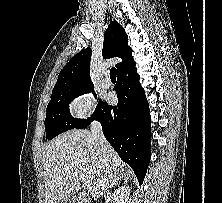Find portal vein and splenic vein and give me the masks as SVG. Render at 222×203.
<instances>
[{
	"mask_svg": "<svg viewBox=\"0 0 222 203\" xmlns=\"http://www.w3.org/2000/svg\"><path fill=\"white\" fill-rule=\"evenodd\" d=\"M82 184H83V187H88L89 186L87 180H85V179H83Z\"/></svg>",
	"mask_w": 222,
	"mask_h": 203,
	"instance_id": "1",
	"label": "portal vein and splenic vein"
}]
</instances>
